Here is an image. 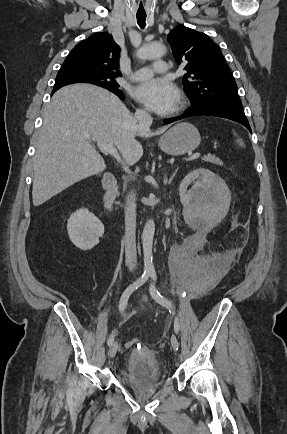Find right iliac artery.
I'll return each mask as SVG.
<instances>
[{
	"label": "right iliac artery",
	"mask_w": 287,
	"mask_h": 434,
	"mask_svg": "<svg viewBox=\"0 0 287 434\" xmlns=\"http://www.w3.org/2000/svg\"><path fill=\"white\" fill-rule=\"evenodd\" d=\"M149 272H144L140 278H138L133 284L129 285L126 290L123 292L120 303H119V310L120 312H123L127 306L128 300L130 295L137 290L140 286H142L150 277ZM114 342V334L110 336V338L107 341L108 346H111Z\"/></svg>",
	"instance_id": "1"
}]
</instances>
